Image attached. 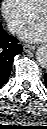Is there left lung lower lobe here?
<instances>
[{
    "label": "left lung lower lobe",
    "mask_w": 47,
    "mask_h": 129,
    "mask_svg": "<svg viewBox=\"0 0 47 129\" xmlns=\"http://www.w3.org/2000/svg\"><path fill=\"white\" fill-rule=\"evenodd\" d=\"M44 79H45V82H46V85H47V73H45Z\"/></svg>",
    "instance_id": "0a47b994"
}]
</instances>
